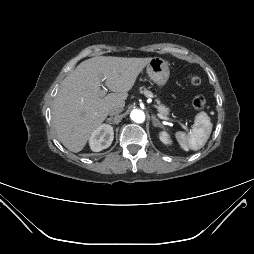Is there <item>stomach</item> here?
I'll list each match as a JSON object with an SVG mask.
<instances>
[{"label": "stomach", "mask_w": 254, "mask_h": 254, "mask_svg": "<svg viewBox=\"0 0 254 254\" xmlns=\"http://www.w3.org/2000/svg\"><path fill=\"white\" fill-rule=\"evenodd\" d=\"M146 71L150 79L161 89L167 83L170 75L168 63L160 58L154 57L146 65Z\"/></svg>", "instance_id": "0dacf381"}]
</instances>
